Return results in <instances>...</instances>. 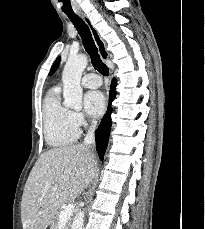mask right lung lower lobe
<instances>
[{
    "instance_id": "1",
    "label": "right lung lower lobe",
    "mask_w": 205,
    "mask_h": 229,
    "mask_svg": "<svg viewBox=\"0 0 205 229\" xmlns=\"http://www.w3.org/2000/svg\"><path fill=\"white\" fill-rule=\"evenodd\" d=\"M116 81L113 80L110 89V102L106 115L101 120L99 127L95 132L96 136V149L99 154V158L103 160L105 150L107 148L109 133L111 129V102L114 100L116 95Z\"/></svg>"
}]
</instances>
